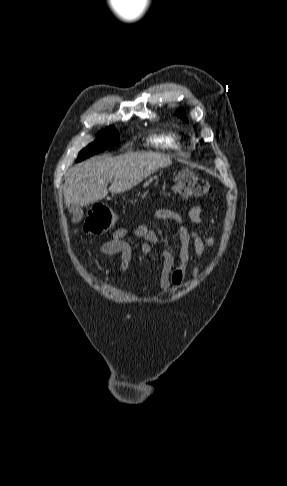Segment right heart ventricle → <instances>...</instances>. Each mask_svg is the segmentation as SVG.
Returning a JSON list of instances; mask_svg holds the SVG:
<instances>
[{
  "instance_id": "right-heart-ventricle-1",
  "label": "right heart ventricle",
  "mask_w": 287,
  "mask_h": 486,
  "mask_svg": "<svg viewBox=\"0 0 287 486\" xmlns=\"http://www.w3.org/2000/svg\"><path fill=\"white\" fill-rule=\"evenodd\" d=\"M152 141L157 145L178 150L181 148L182 137L178 132L169 130L155 135Z\"/></svg>"
}]
</instances>
